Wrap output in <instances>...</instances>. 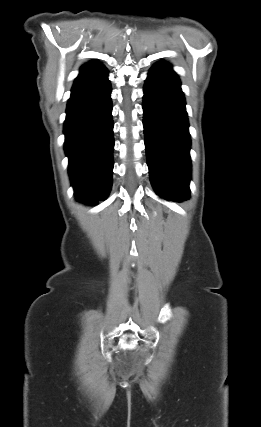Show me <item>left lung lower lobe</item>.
<instances>
[{"instance_id": "1", "label": "left lung lower lobe", "mask_w": 261, "mask_h": 427, "mask_svg": "<svg viewBox=\"0 0 261 427\" xmlns=\"http://www.w3.org/2000/svg\"><path fill=\"white\" fill-rule=\"evenodd\" d=\"M179 78L166 62L152 66L144 86L143 126L155 192L171 201L189 198L190 134Z\"/></svg>"}]
</instances>
